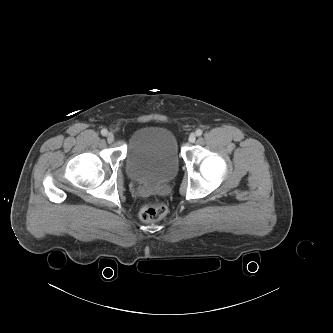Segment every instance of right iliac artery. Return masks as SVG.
<instances>
[{
    "mask_svg": "<svg viewBox=\"0 0 333 333\" xmlns=\"http://www.w3.org/2000/svg\"><path fill=\"white\" fill-rule=\"evenodd\" d=\"M101 134H102L103 136H106V135L108 134V131H107L106 129H102V130H101Z\"/></svg>",
    "mask_w": 333,
    "mask_h": 333,
    "instance_id": "right-iliac-artery-1",
    "label": "right iliac artery"
}]
</instances>
